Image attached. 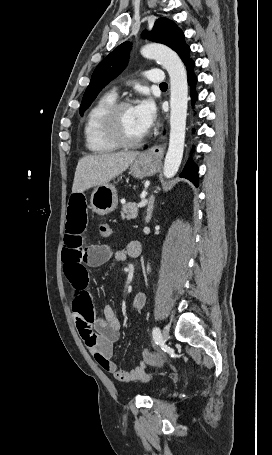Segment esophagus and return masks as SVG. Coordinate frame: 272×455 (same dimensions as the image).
<instances>
[{"label":"esophagus","instance_id":"esophagus-1","mask_svg":"<svg viewBox=\"0 0 272 455\" xmlns=\"http://www.w3.org/2000/svg\"><path fill=\"white\" fill-rule=\"evenodd\" d=\"M163 152H164L163 147L155 145L148 150V155L158 159L162 156Z\"/></svg>","mask_w":272,"mask_h":455}]
</instances>
